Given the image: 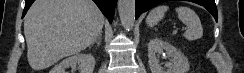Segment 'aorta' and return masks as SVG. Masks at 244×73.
<instances>
[{"label":"aorta","mask_w":244,"mask_h":73,"mask_svg":"<svg viewBox=\"0 0 244 73\" xmlns=\"http://www.w3.org/2000/svg\"><path fill=\"white\" fill-rule=\"evenodd\" d=\"M118 12L122 26L132 29L135 22V0H119Z\"/></svg>","instance_id":"762f6f07"}]
</instances>
